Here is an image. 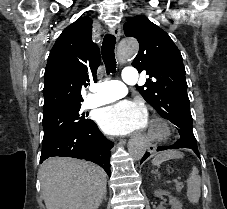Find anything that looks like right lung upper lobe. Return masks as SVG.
<instances>
[{
  "label": "right lung upper lobe",
  "instance_id": "right-lung-upper-lobe-1",
  "mask_svg": "<svg viewBox=\"0 0 227 209\" xmlns=\"http://www.w3.org/2000/svg\"><path fill=\"white\" fill-rule=\"evenodd\" d=\"M91 33L92 19L80 17L56 40L45 68L44 104L53 99L83 100L81 88L96 78L101 62Z\"/></svg>",
  "mask_w": 227,
  "mask_h": 209
}]
</instances>
